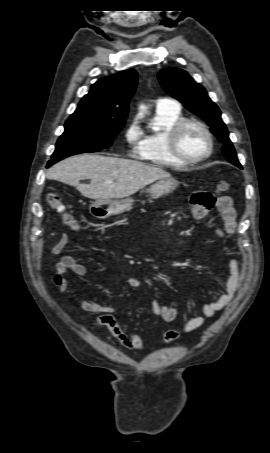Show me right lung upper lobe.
I'll use <instances>...</instances> for the list:
<instances>
[{"label": "right lung upper lobe", "instance_id": "cb5924a9", "mask_svg": "<svg viewBox=\"0 0 270 453\" xmlns=\"http://www.w3.org/2000/svg\"><path fill=\"white\" fill-rule=\"evenodd\" d=\"M137 72L125 70L99 79L79 102L70 116H94L117 123H124L129 100L135 92Z\"/></svg>", "mask_w": 270, "mask_h": 453}]
</instances>
